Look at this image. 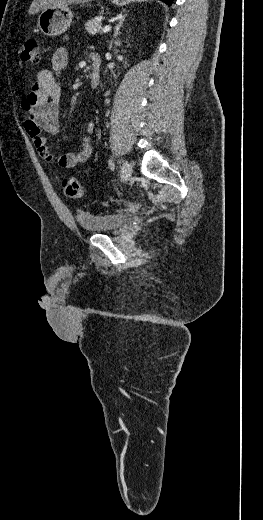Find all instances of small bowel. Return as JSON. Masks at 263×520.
I'll list each match as a JSON object with an SVG mask.
<instances>
[{
  "instance_id": "obj_1",
  "label": "small bowel",
  "mask_w": 263,
  "mask_h": 520,
  "mask_svg": "<svg viewBox=\"0 0 263 520\" xmlns=\"http://www.w3.org/2000/svg\"><path fill=\"white\" fill-rule=\"evenodd\" d=\"M68 50L58 48L52 55L51 69H42L37 74L31 91L22 100V108L26 113L24 128L31 138L39 156L48 163H57L63 168H73L88 161L93 154L90 135L95 130L92 121L86 123L87 135L81 139V148L76 153L56 155L47 145L42 132L55 134L60 127L61 86L57 76L67 66Z\"/></svg>"
}]
</instances>
